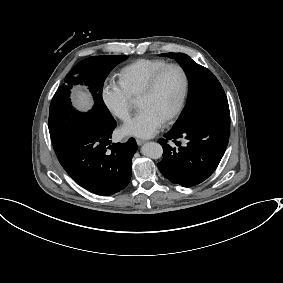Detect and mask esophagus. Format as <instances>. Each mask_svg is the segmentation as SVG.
<instances>
[{"mask_svg": "<svg viewBox=\"0 0 283 283\" xmlns=\"http://www.w3.org/2000/svg\"><path fill=\"white\" fill-rule=\"evenodd\" d=\"M136 142L139 146L143 145L144 143H146V140L143 139H136Z\"/></svg>", "mask_w": 283, "mask_h": 283, "instance_id": "esophagus-1", "label": "esophagus"}]
</instances>
